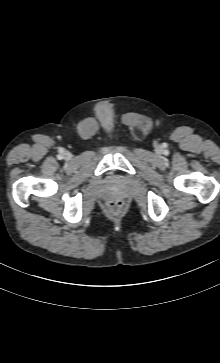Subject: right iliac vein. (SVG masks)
<instances>
[{
	"label": "right iliac vein",
	"instance_id": "obj_1",
	"mask_svg": "<svg viewBox=\"0 0 220 363\" xmlns=\"http://www.w3.org/2000/svg\"><path fill=\"white\" fill-rule=\"evenodd\" d=\"M63 157L65 158V159H70L71 158V153L70 152H68V151H64L63 152Z\"/></svg>",
	"mask_w": 220,
	"mask_h": 363
}]
</instances>
